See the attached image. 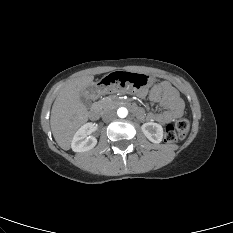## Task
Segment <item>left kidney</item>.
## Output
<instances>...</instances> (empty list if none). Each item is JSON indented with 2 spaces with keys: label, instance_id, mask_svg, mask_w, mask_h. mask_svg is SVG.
Returning a JSON list of instances; mask_svg holds the SVG:
<instances>
[{
  "label": "left kidney",
  "instance_id": "5707ae66",
  "mask_svg": "<svg viewBox=\"0 0 233 233\" xmlns=\"http://www.w3.org/2000/svg\"><path fill=\"white\" fill-rule=\"evenodd\" d=\"M144 135L153 143H160L163 139V128L160 124L148 122L141 127Z\"/></svg>",
  "mask_w": 233,
  "mask_h": 233
}]
</instances>
